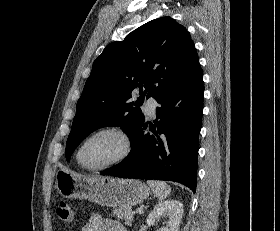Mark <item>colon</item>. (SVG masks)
Masks as SVG:
<instances>
[{
	"label": "colon",
	"instance_id": "colon-1",
	"mask_svg": "<svg viewBox=\"0 0 280 231\" xmlns=\"http://www.w3.org/2000/svg\"><path fill=\"white\" fill-rule=\"evenodd\" d=\"M55 213H58L62 225H74V216L71 215L72 211L65 201L60 202L58 208H55Z\"/></svg>",
	"mask_w": 280,
	"mask_h": 231
}]
</instances>
